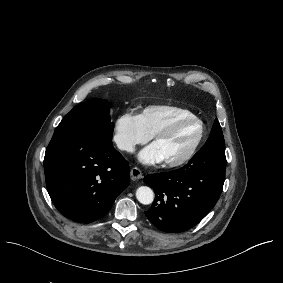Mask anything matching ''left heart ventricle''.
I'll list each match as a JSON object with an SVG mask.
<instances>
[{"instance_id":"b2bd125f","label":"left heart ventricle","mask_w":283,"mask_h":283,"mask_svg":"<svg viewBox=\"0 0 283 283\" xmlns=\"http://www.w3.org/2000/svg\"><path fill=\"white\" fill-rule=\"evenodd\" d=\"M199 128L197 122L188 121L180 125L171 137L158 140L165 161H175L182 158L194 143Z\"/></svg>"}]
</instances>
